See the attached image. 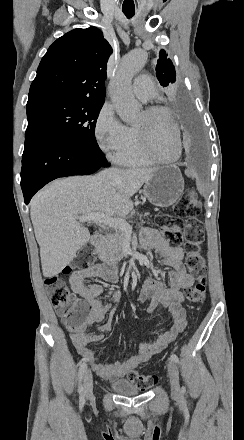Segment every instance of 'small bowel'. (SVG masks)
<instances>
[{
	"instance_id": "obj_1",
	"label": "small bowel",
	"mask_w": 244,
	"mask_h": 440,
	"mask_svg": "<svg viewBox=\"0 0 244 440\" xmlns=\"http://www.w3.org/2000/svg\"><path fill=\"white\" fill-rule=\"evenodd\" d=\"M141 244L152 248L160 256L161 264L169 268L168 285L160 280L148 277L144 280L139 302H149L148 313H154L158 306L162 305L169 311L173 318L171 327L162 333L154 342L141 345L138 353L123 362L113 364L100 362L94 351L89 347L91 343L103 340V333L111 329V323L107 322L90 332V328L101 323L111 308V303H103L100 299L104 294L103 288L87 280L99 277L105 282L113 283L117 280L116 269L112 265L97 264L88 268L74 271L69 277L72 290L81 300H87L92 314L87 316L88 325L84 327V335H70L71 341L78 354L88 363L91 368L104 380L117 381L123 379L130 372L137 369L143 362L152 356L164 351L187 327L186 310L183 307V290L192 286L194 278L186 271L183 263L185 251L182 247L172 246L163 234L154 228H143L141 231ZM111 300L119 301L121 298L118 289H112L109 293Z\"/></svg>"
}]
</instances>
